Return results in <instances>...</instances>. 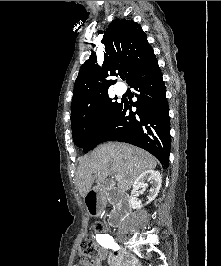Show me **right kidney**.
I'll return each instance as SVG.
<instances>
[{
	"label": "right kidney",
	"instance_id": "right-kidney-1",
	"mask_svg": "<svg viewBox=\"0 0 221 266\" xmlns=\"http://www.w3.org/2000/svg\"><path fill=\"white\" fill-rule=\"evenodd\" d=\"M146 181L150 182L152 185L149 190V195L147 196L148 202L146 204L153 201L159 193L161 183H162L161 174L158 171H154V170L144 171L137 177V179L135 180L133 184V191H132L131 200H130L133 209H139L142 207V204L140 201H138L137 196L139 192L138 190L146 188L147 186Z\"/></svg>",
	"mask_w": 221,
	"mask_h": 266
}]
</instances>
